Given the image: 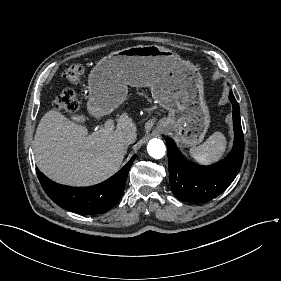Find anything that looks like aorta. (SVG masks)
Segmentation results:
<instances>
[{
    "label": "aorta",
    "mask_w": 281,
    "mask_h": 281,
    "mask_svg": "<svg viewBox=\"0 0 281 281\" xmlns=\"http://www.w3.org/2000/svg\"><path fill=\"white\" fill-rule=\"evenodd\" d=\"M147 151L151 157L160 159L165 155L166 147L161 139L154 138L149 141Z\"/></svg>",
    "instance_id": "obj_1"
}]
</instances>
